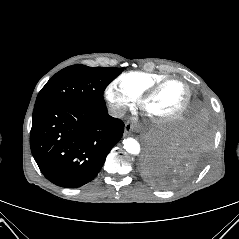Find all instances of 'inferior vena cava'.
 Returning a JSON list of instances; mask_svg holds the SVG:
<instances>
[{"label": "inferior vena cava", "instance_id": "1", "mask_svg": "<svg viewBox=\"0 0 239 239\" xmlns=\"http://www.w3.org/2000/svg\"><path fill=\"white\" fill-rule=\"evenodd\" d=\"M125 112H126V108L124 106L112 105L108 108L109 115L115 118L123 117Z\"/></svg>", "mask_w": 239, "mask_h": 239}]
</instances>
